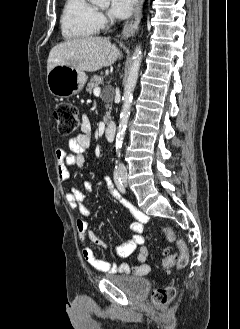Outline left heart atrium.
<instances>
[{
  "mask_svg": "<svg viewBox=\"0 0 240 329\" xmlns=\"http://www.w3.org/2000/svg\"><path fill=\"white\" fill-rule=\"evenodd\" d=\"M136 0H111L110 14L117 19H125L130 16Z\"/></svg>",
  "mask_w": 240,
  "mask_h": 329,
  "instance_id": "1",
  "label": "left heart atrium"
}]
</instances>
